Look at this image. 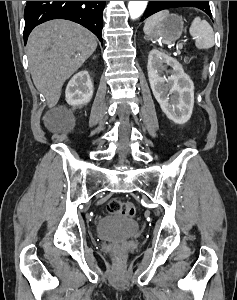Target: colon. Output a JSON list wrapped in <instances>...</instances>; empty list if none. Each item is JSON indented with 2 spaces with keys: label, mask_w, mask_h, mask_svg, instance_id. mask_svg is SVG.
I'll list each match as a JSON object with an SVG mask.
<instances>
[{
  "label": "colon",
  "mask_w": 237,
  "mask_h": 300,
  "mask_svg": "<svg viewBox=\"0 0 237 300\" xmlns=\"http://www.w3.org/2000/svg\"><path fill=\"white\" fill-rule=\"evenodd\" d=\"M106 210L108 213H120L126 217H134L136 214V206L132 202H122L117 199H112L107 203ZM119 257L121 260L126 258V252L121 250L119 252Z\"/></svg>",
  "instance_id": "obj_1"
}]
</instances>
